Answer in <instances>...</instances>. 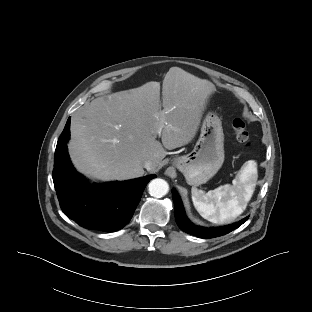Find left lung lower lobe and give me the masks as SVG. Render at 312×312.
<instances>
[{"instance_id":"left-lung-lower-lobe-1","label":"left lung lower lobe","mask_w":312,"mask_h":312,"mask_svg":"<svg viewBox=\"0 0 312 312\" xmlns=\"http://www.w3.org/2000/svg\"><path fill=\"white\" fill-rule=\"evenodd\" d=\"M172 196L174 200V215L177 225L181 230L185 231L186 233L200 238H214L225 235L233 231L234 229H237L248 220V217H246L237 223L223 227L206 228L196 226L193 223H191L189 219L186 217L181 198L175 189L172 190Z\"/></svg>"}]
</instances>
